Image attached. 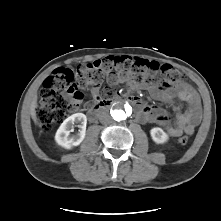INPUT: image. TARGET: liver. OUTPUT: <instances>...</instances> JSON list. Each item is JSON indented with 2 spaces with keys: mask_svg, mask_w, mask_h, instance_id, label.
I'll return each instance as SVG.
<instances>
[{
  "mask_svg": "<svg viewBox=\"0 0 221 221\" xmlns=\"http://www.w3.org/2000/svg\"><path fill=\"white\" fill-rule=\"evenodd\" d=\"M36 107H37V97H34L32 103H31V117L34 121L35 124H39V119L37 118L36 115Z\"/></svg>",
  "mask_w": 221,
  "mask_h": 221,
  "instance_id": "liver-1",
  "label": "liver"
}]
</instances>
